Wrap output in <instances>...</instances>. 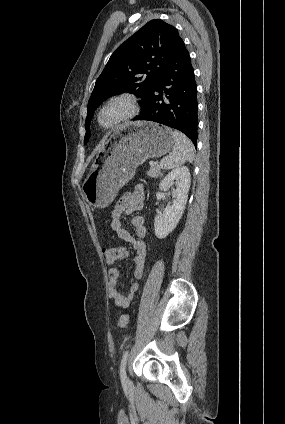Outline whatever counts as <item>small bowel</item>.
<instances>
[{"instance_id": "obj_1", "label": "small bowel", "mask_w": 285, "mask_h": 424, "mask_svg": "<svg viewBox=\"0 0 285 424\" xmlns=\"http://www.w3.org/2000/svg\"><path fill=\"white\" fill-rule=\"evenodd\" d=\"M144 204V189L142 186L136 187L133 192L124 194L119 200L116 209L113 212L111 228L117 237L130 243L135 250L134 271L135 282L129 287L126 294L120 291V271L117 268H111L108 272L109 276V297L114 303L122 308H127L135 299L139 289V280L142 278L145 262L147 257V246L144 238L147 234V228L144 218L140 215L132 216L131 225L135 230L132 235L123 225V221L130 217L134 212L142 209ZM124 256H128V250L122 248Z\"/></svg>"}]
</instances>
